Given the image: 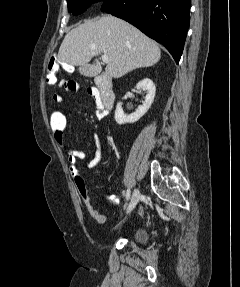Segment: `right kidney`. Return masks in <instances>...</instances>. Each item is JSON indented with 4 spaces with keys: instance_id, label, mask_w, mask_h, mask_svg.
I'll list each match as a JSON object with an SVG mask.
<instances>
[{
    "instance_id": "right-kidney-1",
    "label": "right kidney",
    "mask_w": 240,
    "mask_h": 287,
    "mask_svg": "<svg viewBox=\"0 0 240 287\" xmlns=\"http://www.w3.org/2000/svg\"><path fill=\"white\" fill-rule=\"evenodd\" d=\"M136 88L140 91L147 92L145 100L143 104L139 106L136 109V111L130 115H126L124 113L122 109V103L119 102L115 110V121L119 125L137 122L142 116H144L147 113V111L149 110L154 101L156 86L151 79L145 78L141 80L140 82L137 83Z\"/></svg>"
}]
</instances>
